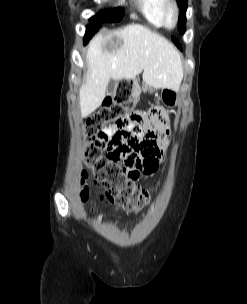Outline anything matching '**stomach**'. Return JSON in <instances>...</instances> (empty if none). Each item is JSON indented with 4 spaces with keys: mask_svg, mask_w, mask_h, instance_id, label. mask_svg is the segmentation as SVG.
I'll return each instance as SVG.
<instances>
[{
    "mask_svg": "<svg viewBox=\"0 0 247 304\" xmlns=\"http://www.w3.org/2000/svg\"><path fill=\"white\" fill-rule=\"evenodd\" d=\"M162 102L170 107H175L179 104V94L177 90L164 88L161 91Z\"/></svg>",
    "mask_w": 247,
    "mask_h": 304,
    "instance_id": "1",
    "label": "stomach"
}]
</instances>
